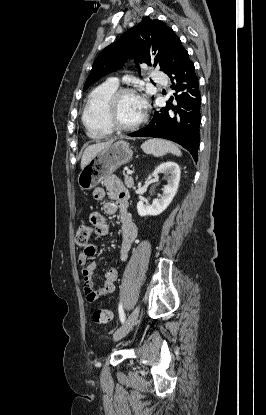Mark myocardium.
Returning <instances> with one entry per match:
<instances>
[{
    "mask_svg": "<svg viewBox=\"0 0 266 415\" xmlns=\"http://www.w3.org/2000/svg\"><path fill=\"white\" fill-rule=\"evenodd\" d=\"M127 94L136 95L135 91L131 88H119L110 96L106 106V116L109 124L114 130L117 131H134L141 127L147 120V113L143 111V114L139 121L132 125H125L119 122L116 115V109L119 99Z\"/></svg>",
    "mask_w": 266,
    "mask_h": 415,
    "instance_id": "myocardium-1",
    "label": "myocardium"
}]
</instances>
